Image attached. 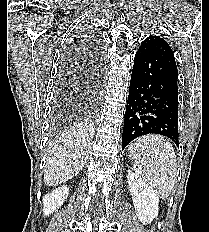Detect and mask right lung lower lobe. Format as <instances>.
<instances>
[{"mask_svg": "<svg viewBox=\"0 0 209 232\" xmlns=\"http://www.w3.org/2000/svg\"><path fill=\"white\" fill-rule=\"evenodd\" d=\"M100 48L99 47H92L88 50L83 48L74 53L73 57L77 58L78 56L92 61L94 65H96V71L98 77L102 74V62H101V55H100ZM81 55V56H80Z\"/></svg>", "mask_w": 209, "mask_h": 232, "instance_id": "right-lung-lower-lobe-1", "label": "right lung lower lobe"}]
</instances>
